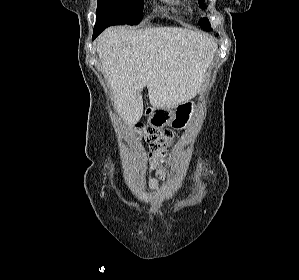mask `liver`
<instances>
[{
    "label": "liver",
    "instance_id": "1",
    "mask_svg": "<svg viewBox=\"0 0 299 280\" xmlns=\"http://www.w3.org/2000/svg\"><path fill=\"white\" fill-rule=\"evenodd\" d=\"M217 45L180 27L108 28L97 41L101 69L113 91L114 108L128 126L143 115L141 91L150 104L172 108L201 89Z\"/></svg>",
    "mask_w": 299,
    "mask_h": 280
}]
</instances>
